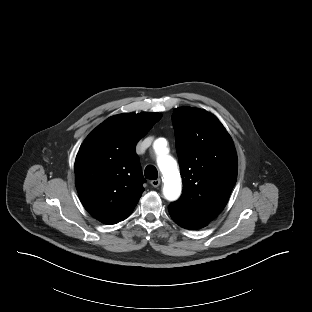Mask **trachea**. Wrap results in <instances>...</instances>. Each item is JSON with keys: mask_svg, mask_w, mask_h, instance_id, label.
Instances as JSON below:
<instances>
[{"mask_svg": "<svg viewBox=\"0 0 312 312\" xmlns=\"http://www.w3.org/2000/svg\"><path fill=\"white\" fill-rule=\"evenodd\" d=\"M144 175L147 179L156 180L158 177V171L153 165H148L145 168Z\"/></svg>", "mask_w": 312, "mask_h": 312, "instance_id": "trachea-1", "label": "trachea"}]
</instances>
